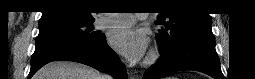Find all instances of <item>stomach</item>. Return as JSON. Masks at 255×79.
Here are the masks:
<instances>
[{
    "label": "stomach",
    "mask_w": 255,
    "mask_h": 79,
    "mask_svg": "<svg viewBox=\"0 0 255 79\" xmlns=\"http://www.w3.org/2000/svg\"><path fill=\"white\" fill-rule=\"evenodd\" d=\"M167 79H173V78H171V77H168Z\"/></svg>",
    "instance_id": "1"
}]
</instances>
